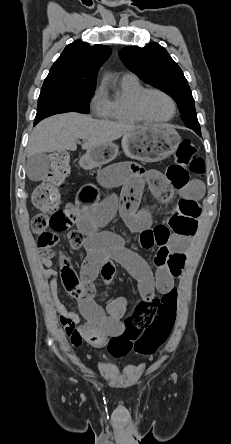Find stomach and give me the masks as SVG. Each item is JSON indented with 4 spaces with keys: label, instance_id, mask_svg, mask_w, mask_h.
Returning a JSON list of instances; mask_svg holds the SVG:
<instances>
[{
    "label": "stomach",
    "instance_id": "stomach-1",
    "mask_svg": "<svg viewBox=\"0 0 231 444\" xmlns=\"http://www.w3.org/2000/svg\"><path fill=\"white\" fill-rule=\"evenodd\" d=\"M181 142L179 134L171 126L146 124L134 128L122 138V148L131 159L157 162L172 155ZM118 155L114 143L93 148L81 158L80 165L92 169L112 161Z\"/></svg>",
    "mask_w": 231,
    "mask_h": 444
}]
</instances>
